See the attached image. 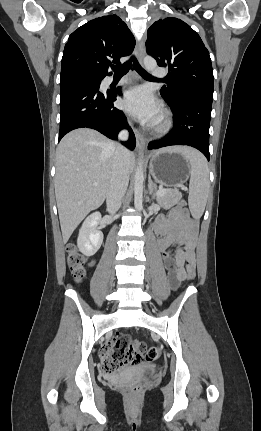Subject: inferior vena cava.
I'll return each mask as SVG.
<instances>
[{
  "instance_id": "1",
  "label": "inferior vena cava",
  "mask_w": 261,
  "mask_h": 431,
  "mask_svg": "<svg viewBox=\"0 0 261 431\" xmlns=\"http://www.w3.org/2000/svg\"><path fill=\"white\" fill-rule=\"evenodd\" d=\"M118 138L123 141L127 140L128 132L126 130L121 131ZM128 152V149L124 146L117 145L111 184L106 197L107 211L111 215H114L121 207L122 198L128 187L129 175L126 168V156Z\"/></svg>"
}]
</instances>
